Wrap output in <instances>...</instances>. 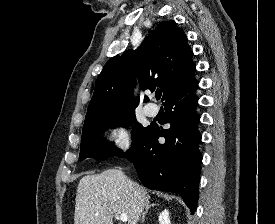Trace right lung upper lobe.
I'll return each instance as SVG.
<instances>
[{"label": "right lung upper lobe", "mask_w": 275, "mask_h": 224, "mask_svg": "<svg viewBox=\"0 0 275 224\" xmlns=\"http://www.w3.org/2000/svg\"><path fill=\"white\" fill-rule=\"evenodd\" d=\"M193 52L187 37L174 21H163L149 31V36L136 50L112 57L99 74L88 106L84 127L104 118L135 111L139 98H134V77L142 90L161 88L166 100L184 88L196 71ZM148 97H144V102Z\"/></svg>", "instance_id": "obj_1"}]
</instances>
